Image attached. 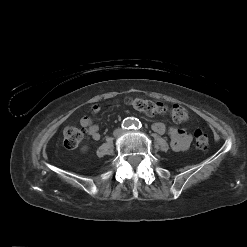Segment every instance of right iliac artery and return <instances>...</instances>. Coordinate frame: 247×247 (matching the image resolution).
<instances>
[{"label": "right iliac artery", "instance_id": "82829eb1", "mask_svg": "<svg viewBox=\"0 0 247 247\" xmlns=\"http://www.w3.org/2000/svg\"><path fill=\"white\" fill-rule=\"evenodd\" d=\"M122 127L124 129H131L133 127V123H132L131 120H124L123 123H122Z\"/></svg>", "mask_w": 247, "mask_h": 247}]
</instances>
